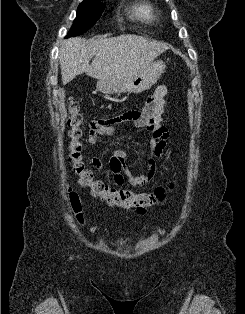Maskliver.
I'll list each match as a JSON object with an SVG mask.
<instances>
[{
    "mask_svg": "<svg viewBox=\"0 0 245 314\" xmlns=\"http://www.w3.org/2000/svg\"><path fill=\"white\" fill-rule=\"evenodd\" d=\"M168 48L163 42L132 34L89 41L70 38L63 41L59 52L62 83L82 73L99 80L124 79L149 67Z\"/></svg>",
    "mask_w": 245,
    "mask_h": 314,
    "instance_id": "obj_1",
    "label": "liver"
}]
</instances>
